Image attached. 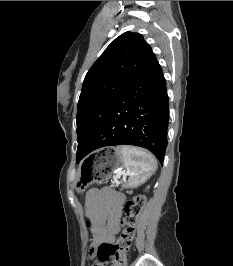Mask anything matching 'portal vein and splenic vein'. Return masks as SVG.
<instances>
[{"label":"portal vein and splenic vein","instance_id":"1","mask_svg":"<svg viewBox=\"0 0 233 266\" xmlns=\"http://www.w3.org/2000/svg\"><path fill=\"white\" fill-rule=\"evenodd\" d=\"M126 174H127V173H125V172H118L117 175H116V177H117V178H120L121 175H126Z\"/></svg>","mask_w":233,"mask_h":266}]
</instances>
